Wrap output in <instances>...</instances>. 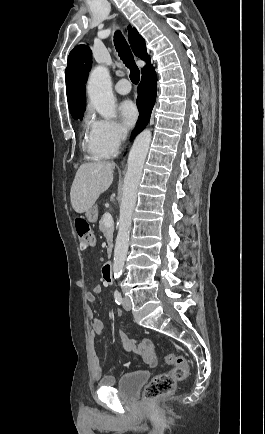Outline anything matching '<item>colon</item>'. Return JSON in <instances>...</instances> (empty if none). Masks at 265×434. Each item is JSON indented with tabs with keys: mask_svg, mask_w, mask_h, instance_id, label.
Listing matches in <instances>:
<instances>
[{
	"mask_svg": "<svg viewBox=\"0 0 265 434\" xmlns=\"http://www.w3.org/2000/svg\"><path fill=\"white\" fill-rule=\"evenodd\" d=\"M75 232L83 250H90L95 244V234L87 220L76 219ZM165 362L172 366L170 373H157L144 389V400L152 402L153 397L171 393L175 390L176 383L187 379L189 366L186 360L180 356L170 354L165 357Z\"/></svg>",
	"mask_w": 265,
	"mask_h": 434,
	"instance_id": "5ec220e1",
	"label": "colon"
}]
</instances>
